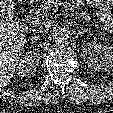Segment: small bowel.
<instances>
[{
    "label": "small bowel",
    "instance_id": "c3829d8e",
    "mask_svg": "<svg viewBox=\"0 0 113 113\" xmlns=\"http://www.w3.org/2000/svg\"><path fill=\"white\" fill-rule=\"evenodd\" d=\"M105 1H112V0H105ZM73 2L79 3V4L86 3V4L90 5V6H95V7L101 6L103 4H106V3L103 2V0H73ZM90 17H91L90 11L86 10V11H84L82 13L83 20H86L87 21V20L90 19ZM106 17H107L108 26L110 28H112V26H113V18L112 17H109L107 14H106Z\"/></svg>",
    "mask_w": 113,
    "mask_h": 113
}]
</instances>
